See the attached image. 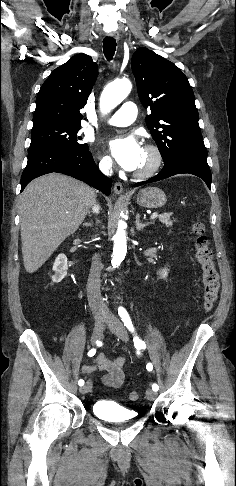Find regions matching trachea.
I'll use <instances>...</instances> for the list:
<instances>
[{
    "instance_id": "obj_1",
    "label": "trachea",
    "mask_w": 236,
    "mask_h": 486,
    "mask_svg": "<svg viewBox=\"0 0 236 486\" xmlns=\"http://www.w3.org/2000/svg\"><path fill=\"white\" fill-rule=\"evenodd\" d=\"M116 40L113 37H105L103 39V50L107 60H112L116 51Z\"/></svg>"
}]
</instances>
